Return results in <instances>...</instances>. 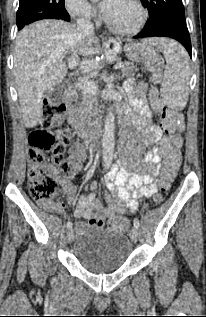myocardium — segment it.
I'll list each match as a JSON object with an SVG mask.
<instances>
[{
    "mask_svg": "<svg viewBox=\"0 0 206 317\" xmlns=\"http://www.w3.org/2000/svg\"><path fill=\"white\" fill-rule=\"evenodd\" d=\"M139 10L140 12V19L137 22V24L131 28H121L116 25H114L112 22L108 20V18L103 15V20L105 25L107 26L108 29L113 31L114 33H117L119 35H134L141 31L143 27L145 26L147 19H148V10L144 6V4L141 2V0H130Z\"/></svg>",
    "mask_w": 206,
    "mask_h": 317,
    "instance_id": "obj_1",
    "label": "myocardium"
}]
</instances>
